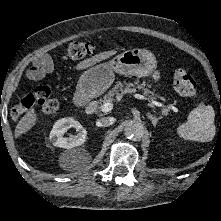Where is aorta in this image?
I'll use <instances>...</instances> for the list:
<instances>
[{"label":"aorta","instance_id":"obj_1","mask_svg":"<svg viewBox=\"0 0 221 221\" xmlns=\"http://www.w3.org/2000/svg\"><path fill=\"white\" fill-rule=\"evenodd\" d=\"M144 125L137 121H126L124 127V134L128 139L140 140L144 135Z\"/></svg>","mask_w":221,"mask_h":221}]
</instances>
